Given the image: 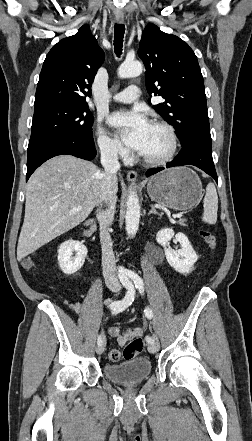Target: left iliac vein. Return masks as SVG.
Listing matches in <instances>:
<instances>
[{
    "instance_id": "left-iliac-vein-1",
    "label": "left iliac vein",
    "mask_w": 252,
    "mask_h": 441,
    "mask_svg": "<svg viewBox=\"0 0 252 441\" xmlns=\"http://www.w3.org/2000/svg\"><path fill=\"white\" fill-rule=\"evenodd\" d=\"M148 350L150 353L155 354L159 350V342L156 335L152 336V342L148 346Z\"/></svg>"
}]
</instances>
